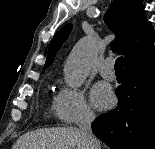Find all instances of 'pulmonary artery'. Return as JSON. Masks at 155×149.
<instances>
[{
  "instance_id": "pulmonary-artery-1",
  "label": "pulmonary artery",
  "mask_w": 155,
  "mask_h": 149,
  "mask_svg": "<svg viewBox=\"0 0 155 149\" xmlns=\"http://www.w3.org/2000/svg\"><path fill=\"white\" fill-rule=\"evenodd\" d=\"M114 61L112 58L106 59L100 66H99V72L100 74L108 79V80H114L115 79V72L113 70Z\"/></svg>"
}]
</instances>
